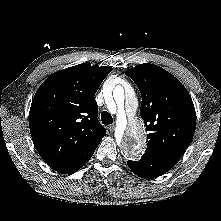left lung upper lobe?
<instances>
[{"label":"left lung upper lobe","mask_w":221,"mask_h":221,"mask_svg":"<svg viewBox=\"0 0 221 221\" xmlns=\"http://www.w3.org/2000/svg\"><path fill=\"white\" fill-rule=\"evenodd\" d=\"M142 96L140 115L147 134L144 154L175 164L190 145L196 113L186 88L172 74L153 64H141L126 72Z\"/></svg>","instance_id":"1"}]
</instances>
